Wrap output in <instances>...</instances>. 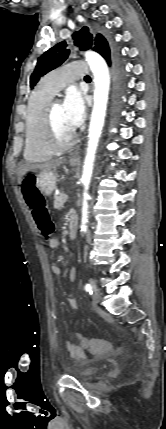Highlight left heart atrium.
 Listing matches in <instances>:
<instances>
[{"mask_svg": "<svg viewBox=\"0 0 166 429\" xmlns=\"http://www.w3.org/2000/svg\"><path fill=\"white\" fill-rule=\"evenodd\" d=\"M68 125L75 129L84 120L85 103L83 95L77 90H70L62 103Z\"/></svg>", "mask_w": 166, "mask_h": 429, "instance_id": "obj_1", "label": "left heart atrium"}]
</instances>
